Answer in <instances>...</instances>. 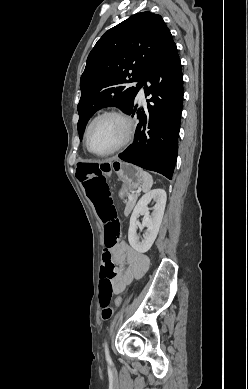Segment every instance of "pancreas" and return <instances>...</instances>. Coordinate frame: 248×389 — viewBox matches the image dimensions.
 I'll list each match as a JSON object with an SVG mask.
<instances>
[{
  "label": "pancreas",
  "mask_w": 248,
  "mask_h": 389,
  "mask_svg": "<svg viewBox=\"0 0 248 389\" xmlns=\"http://www.w3.org/2000/svg\"><path fill=\"white\" fill-rule=\"evenodd\" d=\"M138 198V195H133V199L129 200L127 203H126V208H125V215H128L132 208L134 207L135 203H136V200Z\"/></svg>",
  "instance_id": "1"
}]
</instances>
